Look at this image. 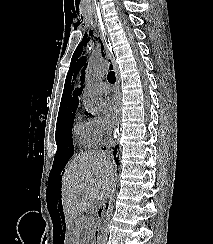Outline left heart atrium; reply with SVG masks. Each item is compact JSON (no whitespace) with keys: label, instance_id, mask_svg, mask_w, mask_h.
Listing matches in <instances>:
<instances>
[{"label":"left heart atrium","instance_id":"obj_1","mask_svg":"<svg viewBox=\"0 0 213 244\" xmlns=\"http://www.w3.org/2000/svg\"><path fill=\"white\" fill-rule=\"evenodd\" d=\"M104 121L109 129H112L118 120L119 102L116 97H107L102 103Z\"/></svg>","mask_w":213,"mask_h":244}]
</instances>
